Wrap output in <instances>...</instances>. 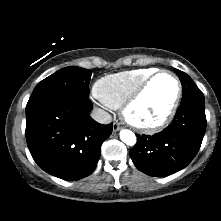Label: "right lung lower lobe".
Masks as SVG:
<instances>
[{
  "label": "right lung lower lobe",
  "instance_id": "1",
  "mask_svg": "<svg viewBox=\"0 0 221 221\" xmlns=\"http://www.w3.org/2000/svg\"><path fill=\"white\" fill-rule=\"evenodd\" d=\"M89 96H55L26 106V141L40 168L64 180L90 175L112 124L93 120Z\"/></svg>",
  "mask_w": 221,
  "mask_h": 221
}]
</instances>
